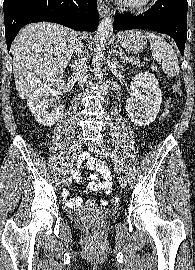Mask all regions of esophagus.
<instances>
[{"label": "esophagus", "instance_id": "1", "mask_svg": "<svg viewBox=\"0 0 195 270\" xmlns=\"http://www.w3.org/2000/svg\"><path fill=\"white\" fill-rule=\"evenodd\" d=\"M97 4H98V11L101 17L110 14V9L104 3L103 0H97Z\"/></svg>", "mask_w": 195, "mask_h": 270}]
</instances>
